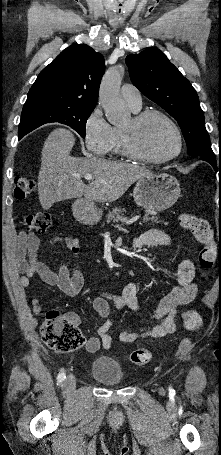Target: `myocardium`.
Instances as JSON below:
<instances>
[{
	"mask_svg": "<svg viewBox=\"0 0 221 455\" xmlns=\"http://www.w3.org/2000/svg\"><path fill=\"white\" fill-rule=\"evenodd\" d=\"M160 117L164 119L174 131L177 139V149L171 155L164 158H154L142 152L135 143V136L138 129L150 118ZM121 147L123 153L135 160L151 163L163 164L177 158L183 150V137L176 122L166 113L157 109H147L136 113L131 119V125L128 128H121Z\"/></svg>",
	"mask_w": 221,
	"mask_h": 455,
	"instance_id": "f54148a6",
	"label": "myocardium"
}]
</instances>
